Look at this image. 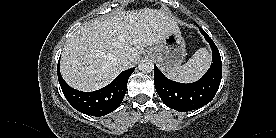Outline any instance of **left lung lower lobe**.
I'll return each mask as SVG.
<instances>
[{
	"label": "left lung lower lobe",
	"mask_w": 276,
	"mask_h": 138,
	"mask_svg": "<svg viewBox=\"0 0 276 138\" xmlns=\"http://www.w3.org/2000/svg\"><path fill=\"white\" fill-rule=\"evenodd\" d=\"M201 33L210 44L213 53L212 64L206 74L194 83L182 84L167 79L154 66V84L163 103L177 111L187 112L208 104L215 96L222 78L220 53L207 33Z\"/></svg>",
	"instance_id": "0a47b994"
}]
</instances>
